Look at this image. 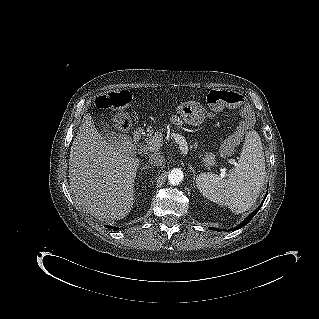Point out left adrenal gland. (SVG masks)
Returning <instances> with one entry per match:
<instances>
[{
  "instance_id": "left-adrenal-gland-1",
  "label": "left adrenal gland",
  "mask_w": 319,
  "mask_h": 319,
  "mask_svg": "<svg viewBox=\"0 0 319 319\" xmlns=\"http://www.w3.org/2000/svg\"><path fill=\"white\" fill-rule=\"evenodd\" d=\"M189 169L193 173V176L195 177V170L193 169V167L191 165H189Z\"/></svg>"
}]
</instances>
